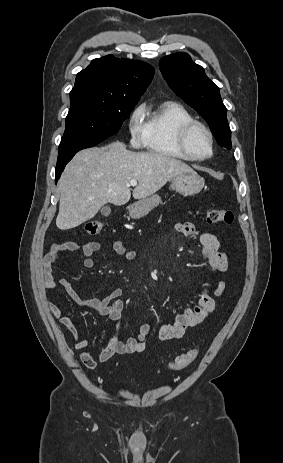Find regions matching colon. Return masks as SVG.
I'll list each match as a JSON object with an SVG mask.
<instances>
[{
  "instance_id": "colon-1",
  "label": "colon",
  "mask_w": 283,
  "mask_h": 463,
  "mask_svg": "<svg viewBox=\"0 0 283 463\" xmlns=\"http://www.w3.org/2000/svg\"><path fill=\"white\" fill-rule=\"evenodd\" d=\"M207 222L210 224H225L231 225L234 222V215L231 211L225 209L212 208L207 211ZM104 228V222L101 220H93L84 225V232L87 235H97ZM199 355L198 349L190 350L176 357L170 364L172 370H181L189 366Z\"/></svg>"
}]
</instances>
